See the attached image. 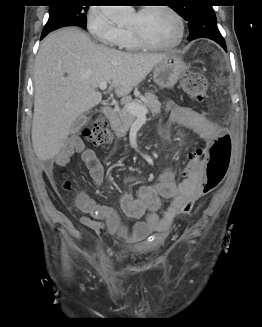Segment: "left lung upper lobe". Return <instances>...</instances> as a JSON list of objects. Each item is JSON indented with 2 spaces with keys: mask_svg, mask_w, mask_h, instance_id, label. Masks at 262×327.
Listing matches in <instances>:
<instances>
[{
  "mask_svg": "<svg viewBox=\"0 0 262 327\" xmlns=\"http://www.w3.org/2000/svg\"><path fill=\"white\" fill-rule=\"evenodd\" d=\"M207 3L208 1L206 0H198L197 4H189L187 6L172 5V7L180 16L188 21L190 31H204V28L217 27L214 9Z\"/></svg>",
  "mask_w": 262,
  "mask_h": 327,
  "instance_id": "1",
  "label": "left lung upper lobe"
}]
</instances>
